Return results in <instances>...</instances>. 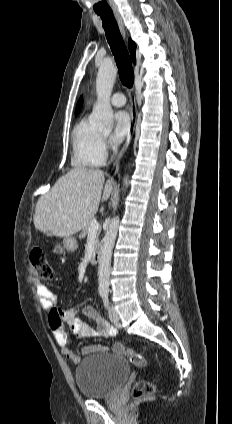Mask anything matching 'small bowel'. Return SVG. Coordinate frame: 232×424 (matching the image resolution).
Here are the masks:
<instances>
[{
    "label": "small bowel",
    "instance_id": "1",
    "mask_svg": "<svg viewBox=\"0 0 232 424\" xmlns=\"http://www.w3.org/2000/svg\"><path fill=\"white\" fill-rule=\"evenodd\" d=\"M37 296L43 309H49V326L53 332L54 338L61 348L62 354L72 363L77 364L82 355H90L104 352L122 353L125 350L123 343L115 342L109 346L89 345L84 346L78 353L70 347V340L65 324L69 330L78 338L87 339L94 337L109 338L116 334L113 325L107 322L91 305H83L71 308H56L55 294L53 291L39 281H35ZM93 321L94 326L82 321L78 314Z\"/></svg>",
    "mask_w": 232,
    "mask_h": 424
}]
</instances>
